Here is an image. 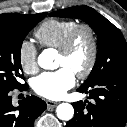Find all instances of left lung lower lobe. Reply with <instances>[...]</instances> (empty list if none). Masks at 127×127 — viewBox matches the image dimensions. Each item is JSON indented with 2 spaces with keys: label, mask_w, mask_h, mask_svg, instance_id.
<instances>
[{
  "label": "left lung lower lobe",
  "mask_w": 127,
  "mask_h": 127,
  "mask_svg": "<svg viewBox=\"0 0 127 127\" xmlns=\"http://www.w3.org/2000/svg\"><path fill=\"white\" fill-rule=\"evenodd\" d=\"M93 103H72L74 117L66 127H124L127 122V76L108 75L96 83L78 88Z\"/></svg>",
  "instance_id": "0a47b994"
}]
</instances>
